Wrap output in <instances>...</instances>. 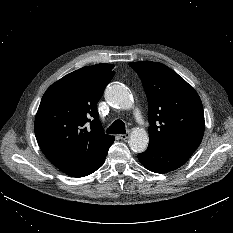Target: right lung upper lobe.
I'll return each instance as SVG.
<instances>
[{
    "label": "right lung upper lobe",
    "instance_id": "cb5924a9",
    "mask_svg": "<svg viewBox=\"0 0 233 233\" xmlns=\"http://www.w3.org/2000/svg\"><path fill=\"white\" fill-rule=\"evenodd\" d=\"M113 68L83 67L52 84L42 97L35 117L36 139L48 160L65 173L95 159L114 140L104 134L96 107L114 76Z\"/></svg>",
    "mask_w": 233,
    "mask_h": 233
}]
</instances>
